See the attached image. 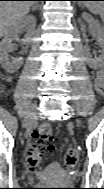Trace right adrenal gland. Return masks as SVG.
Listing matches in <instances>:
<instances>
[{
    "label": "right adrenal gland",
    "mask_w": 104,
    "mask_h": 189,
    "mask_svg": "<svg viewBox=\"0 0 104 189\" xmlns=\"http://www.w3.org/2000/svg\"><path fill=\"white\" fill-rule=\"evenodd\" d=\"M37 9H38V5H37V4H34V5L32 6V8H31L32 11H35V10H37Z\"/></svg>",
    "instance_id": "2a0ac1e0"
}]
</instances>
